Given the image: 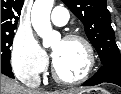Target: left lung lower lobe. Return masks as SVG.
<instances>
[{
	"mask_svg": "<svg viewBox=\"0 0 121 94\" xmlns=\"http://www.w3.org/2000/svg\"><path fill=\"white\" fill-rule=\"evenodd\" d=\"M103 82L121 86V64L103 65L83 86H94Z\"/></svg>",
	"mask_w": 121,
	"mask_h": 94,
	"instance_id": "0a47b994",
	"label": "left lung lower lobe"
}]
</instances>
